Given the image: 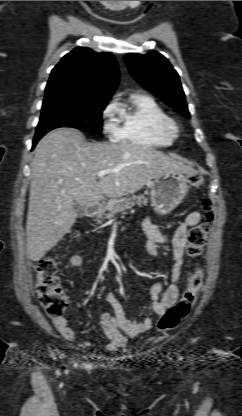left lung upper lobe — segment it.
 <instances>
[{
  "label": "left lung upper lobe",
  "instance_id": "obj_1",
  "mask_svg": "<svg viewBox=\"0 0 242 416\" xmlns=\"http://www.w3.org/2000/svg\"><path fill=\"white\" fill-rule=\"evenodd\" d=\"M124 61L130 74L148 91L163 100L184 117L190 118L179 75L160 53H129Z\"/></svg>",
  "mask_w": 242,
  "mask_h": 416
}]
</instances>
